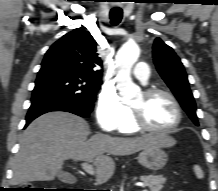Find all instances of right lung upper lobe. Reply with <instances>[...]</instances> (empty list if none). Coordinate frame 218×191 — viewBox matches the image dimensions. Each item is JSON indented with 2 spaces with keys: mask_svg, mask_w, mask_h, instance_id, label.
Returning a JSON list of instances; mask_svg holds the SVG:
<instances>
[{
  "mask_svg": "<svg viewBox=\"0 0 218 191\" xmlns=\"http://www.w3.org/2000/svg\"><path fill=\"white\" fill-rule=\"evenodd\" d=\"M44 60L61 63L101 83L102 61L97 54L96 41L83 28L74 29L56 41Z\"/></svg>",
  "mask_w": 218,
  "mask_h": 191,
  "instance_id": "obj_1",
  "label": "right lung upper lobe"
}]
</instances>
